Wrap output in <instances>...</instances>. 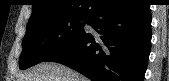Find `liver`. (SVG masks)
<instances>
[{
  "label": "liver",
  "instance_id": "6515ba94",
  "mask_svg": "<svg viewBox=\"0 0 169 81\" xmlns=\"http://www.w3.org/2000/svg\"><path fill=\"white\" fill-rule=\"evenodd\" d=\"M18 81H88V79L65 65L43 62L21 74Z\"/></svg>",
  "mask_w": 169,
  "mask_h": 81
}]
</instances>
